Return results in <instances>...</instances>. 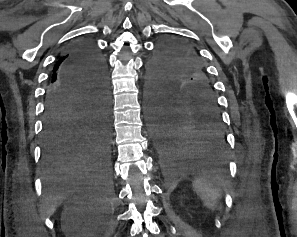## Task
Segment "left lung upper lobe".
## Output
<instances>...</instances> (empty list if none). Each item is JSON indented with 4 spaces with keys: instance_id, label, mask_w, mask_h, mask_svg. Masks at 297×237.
Listing matches in <instances>:
<instances>
[{
    "instance_id": "5c2ea615",
    "label": "left lung upper lobe",
    "mask_w": 297,
    "mask_h": 237,
    "mask_svg": "<svg viewBox=\"0 0 297 237\" xmlns=\"http://www.w3.org/2000/svg\"><path fill=\"white\" fill-rule=\"evenodd\" d=\"M147 82L149 98L170 99L180 104L203 100L217 103L197 54L179 42L168 41L159 46L149 64Z\"/></svg>"
}]
</instances>
